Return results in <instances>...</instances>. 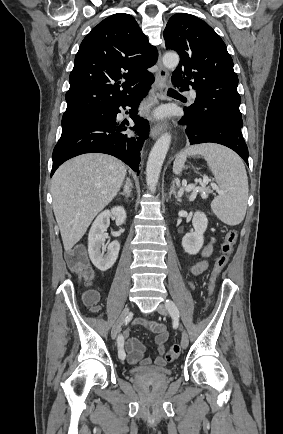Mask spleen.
<instances>
[{"label": "spleen", "instance_id": "spleen-1", "mask_svg": "<svg viewBox=\"0 0 283 434\" xmlns=\"http://www.w3.org/2000/svg\"><path fill=\"white\" fill-rule=\"evenodd\" d=\"M187 155H202L220 187L219 196L211 203L214 214L224 223L234 226L245 217L248 199V178L241 158L228 148L216 144H201L180 153L173 172L182 171Z\"/></svg>", "mask_w": 283, "mask_h": 434}]
</instances>
